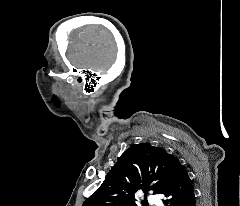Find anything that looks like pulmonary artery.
Masks as SVG:
<instances>
[{
	"instance_id": "pulmonary-artery-1",
	"label": "pulmonary artery",
	"mask_w": 240,
	"mask_h": 206,
	"mask_svg": "<svg viewBox=\"0 0 240 206\" xmlns=\"http://www.w3.org/2000/svg\"><path fill=\"white\" fill-rule=\"evenodd\" d=\"M148 201L151 204H157L159 200H158V198L156 196L151 195V196L148 197Z\"/></svg>"
}]
</instances>
